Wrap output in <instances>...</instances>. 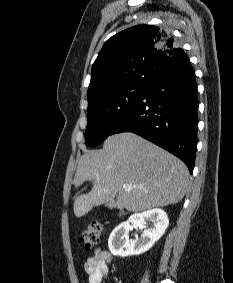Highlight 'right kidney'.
<instances>
[{"label": "right kidney", "mask_w": 233, "mask_h": 283, "mask_svg": "<svg viewBox=\"0 0 233 283\" xmlns=\"http://www.w3.org/2000/svg\"><path fill=\"white\" fill-rule=\"evenodd\" d=\"M148 223L151 226L146 228L145 225ZM168 224V216L162 209L156 208L133 214L112 231L108 240L109 250L113 255L121 257L140 255L161 238ZM135 226L145 229L140 238L129 240V231Z\"/></svg>", "instance_id": "obj_1"}]
</instances>
